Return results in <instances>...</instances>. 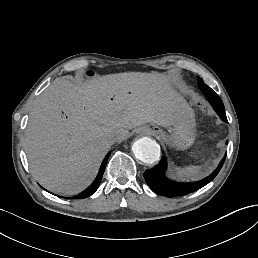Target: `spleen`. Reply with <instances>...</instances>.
Segmentation results:
<instances>
[{"label":"spleen","instance_id":"obj_1","mask_svg":"<svg viewBox=\"0 0 258 258\" xmlns=\"http://www.w3.org/2000/svg\"><path fill=\"white\" fill-rule=\"evenodd\" d=\"M205 165L207 164L206 162L204 163ZM202 170V167L199 165L195 166H190V167H185L182 169H177L176 170V175L178 176L179 179H187V178H193L197 176Z\"/></svg>","mask_w":258,"mask_h":258}]
</instances>
